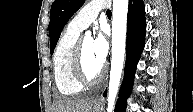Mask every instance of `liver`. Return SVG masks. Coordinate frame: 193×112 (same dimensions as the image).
<instances>
[{"mask_svg": "<svg viewBox=\"0 0 193 112\" xmlns=\"http://www.w3.org/2000/svg\"><path fill=\"white\" fill-rule=\"evenodd\" d=\"M90 98H59L53 103L52 112H92Z\"/></svg>", "mask_w": 193, "mask_h": 112, "instance_id": "6515ba94", "label": "liver"}]
</instances>
